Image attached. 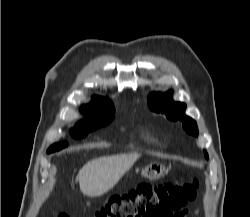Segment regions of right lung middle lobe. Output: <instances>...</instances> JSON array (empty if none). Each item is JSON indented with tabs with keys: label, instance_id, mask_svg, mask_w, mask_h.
Wrapping results in <instances>:
<instances>
[{
	"label": "right lung middle lobe",
	"instance_id": "1",
	"mask_svg": "<svg viewBox=\"0 0 250 217\" xmlns=\"http://www.w3.org/2000/svg\"><path fill=\"white\" fill-rule=\"evenodd\" d=\"M115 111L110 112L108 114L99 116L89 122L79 123L76 128H73L71 130V134L75 138H82L84 137L89 131H92L93 129H98L109 122L114 118ZM68 146V142H61L53 144L48 150L47 153H52L58 150H61Z\"/></svg>",
	"mask_w": 250,
	"mask_h": 217
}]
</instances>
